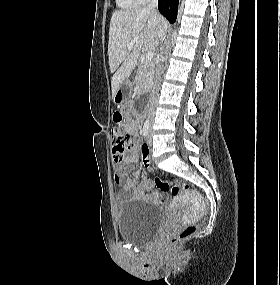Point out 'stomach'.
Wrapping results in <instances>:
<instances>
[{"instance_id": "obj_1", "label": "stomach", "mask_w": 280, "mask_h": 285, "mask_svg": "<svg viewBox=\"0 0 280 285\" xmlns=\"http://www.w3.org/2000/svg\"><path fill=\"white\" fill-rule=\"evenodd\" d=\"M132 91V82L128 79H126L118 88L114 95V102L115 103H121L125 101Z\"/></svg>"}]
</instances>
